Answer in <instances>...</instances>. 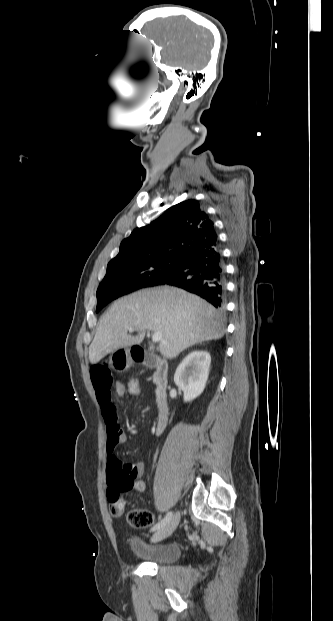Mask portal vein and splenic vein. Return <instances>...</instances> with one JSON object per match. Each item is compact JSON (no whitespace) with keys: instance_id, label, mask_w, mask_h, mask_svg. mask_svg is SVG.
<instances>
[{"instance_id":"18ae733b","label":"portal vein and splenic vein","mask_w":333,"mask_h":621,"mask_svg":"<svg viewBox=\"0 0 333 621\" xmlns=\"http://www.w3.org/2000/svg\"><path fill=\"white\" fill-rule=\"evenodd\" d=\"M135 329L134 328H129L128 331L129 332H133ZM162 338V333L160 331L158 332H154L152 333V341L153 342H158L160 339Z\"/></svg>"}]
</instances>
